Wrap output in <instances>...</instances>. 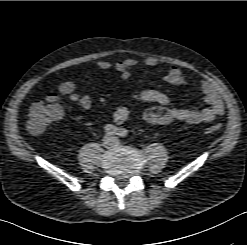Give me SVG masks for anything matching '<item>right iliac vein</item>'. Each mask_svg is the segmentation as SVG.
<instances>
[{"mask_svg":"<svg viewBox=\"0 0 247 245\" xmlns=\"http://www.w3.org/2000/svg\"><path fill=\"white\" fill-rule=\"evenodd\" d=\"M109 142H110V138H106L105 143H109Z\"/></svg>","mask_w":247,"mask_h":245,"instance_id":"1","label":"right iliac vein"}]
</instances>
